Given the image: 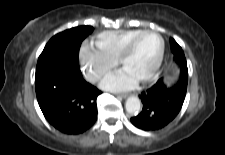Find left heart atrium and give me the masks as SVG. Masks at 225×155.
Listing matches in <instances>:
<instances>
[{
	"label": "left heart atrium",
	"mask_w": 225,
	"mask_h": 155,
	"mask_svg": "<svg viewBox=\"0 0 225 155\" xmlns=\"http://www.w3.org/2000/svg\"><path fill=\"white\" fill-rule=\"evenodd\" d=\"M138 81L136 76L123 68L107 76L102 82V87L110 91H122L134 88Z\"/></svg>",
	"instance_id": "1"
}]
</instances>
